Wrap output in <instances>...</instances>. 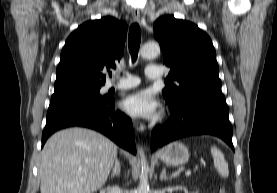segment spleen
I'll return each instance as SVG.
<instances>
[{"label": "spleen", "mask_w": 277, "mask_h": 193, "mask_svg": "<svg viewBox=\"0 0 277 193\" xmlns=\"http://www.w3.org/2000/svg\"><path fill=\"white\" fill-rule=\"evenodd\" d=\"M211 154L213 156L214 167L216 168L219 175L223 178L228 177V163L225 160L224 154L215 146L211 147Z\"/></svg>", "instance_id": "3e777b00"}]
</instances>
